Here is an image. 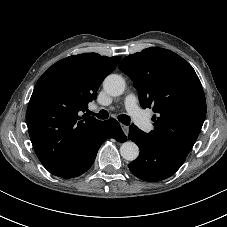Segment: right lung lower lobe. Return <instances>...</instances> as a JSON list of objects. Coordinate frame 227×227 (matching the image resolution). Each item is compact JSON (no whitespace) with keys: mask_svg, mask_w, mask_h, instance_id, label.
Wrapping results in <instances>:
<instances>
[{"mask_svg":"<svg viewBox=\"0 0 227 227\" xmlns=\"http://www.w3.org/2000/svg\"><path fill=\"white\" fill-rule=\"evenodd\" d=\"M123 133L120 124L113 118L103 121L96 132L68 159L50 172L61 178H73L86 172L94 163L98 149L107 138Z\"/></svg>","mask_w":227,"mask_h":227,"instance_id":"1","label":"right lung lower lobe"}]
</instances>
